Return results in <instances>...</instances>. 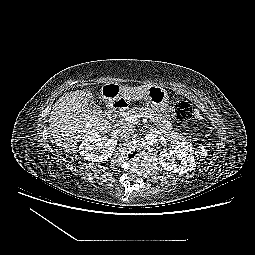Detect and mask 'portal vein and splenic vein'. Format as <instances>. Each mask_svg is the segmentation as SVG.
Segmentation results:
<instances>
[{"instance_id":"18ae733b","label":"portal vein and splenic vein","mask_w":255,"mask_h":255,"mask_svg":"<svg viewBox=\"0 0 255 255\" xmlns=\"http://www.w3.org/2000/svg\"><path fill=\"white\" fill-rule=\"evenodd\" d=\"M141 117H146V118L151 119L153 122H156L154 117H152V116H150V115H148L146 113L145 114H141V115H138V114L137 115H130V116L126 117V121L128 123H133L136 120H138V118H141Z\"/></svg>"}]
</instances>
